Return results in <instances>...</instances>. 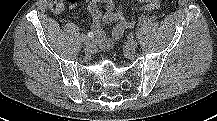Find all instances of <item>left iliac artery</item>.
<instances>
[{
	"instance_id": "1",
	"label": "left iliac artery",
	"mask_w": 217,
	"mask_h": 121,
	"mask_svg": "<svg viewBox=\"0 0 217 121\" xmlns=\"http://www.w3.org/2000/svg\"><path fill=\"white\" fill-rule=\"evenodd\" d=\"M151 21L152 19L150 17L143 15L139 18L138 25L139 26L147 25V24H150Z\"/></svg>"
}]
</instances>
